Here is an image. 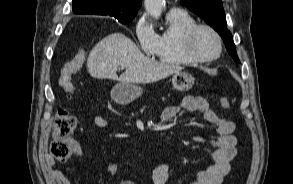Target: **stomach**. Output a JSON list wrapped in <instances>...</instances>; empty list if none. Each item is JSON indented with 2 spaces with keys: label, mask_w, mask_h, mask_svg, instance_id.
<instances>
[{
  "label": "stomach",
  "mask_w": 293,
  "mask_h": 184,
  "mask_svg": "<svg viewBox=\"0 0 293 184\" xmlns=\"http://www.w3.org/2000/svg\"><path fill=\"white\" fill-rule=\"evenodd\" d=\"M194 77L187 72L175 73L172 77V85L178 91H188L194 85ZM143 90L133 83H119L111 90V97L119 104H129L139 96Z\"/></svg>",
  "instance_id": "0dacf381"
}]
</instances>
